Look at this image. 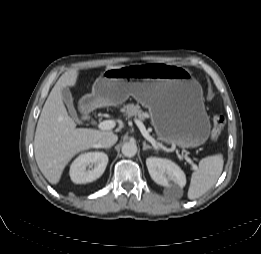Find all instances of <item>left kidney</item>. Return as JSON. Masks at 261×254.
<instances>
[{"label": "left kidney", "instance_id": "left-kidney-1", "mask_svg": "<svg viewBox=\"0 0 261 254\" xmlns=\"http://www.w3.org/2000/svg\"><path fill=\"white\" fill-rule=\"evenodd\" d=\"M146 165L151 178L159 185L169 187L178 185L183 188L186 184V176L182 169L168 159L149 157Z\"/></svg>", "mask_w": 261, "mask_h": 254}]
</instances>
